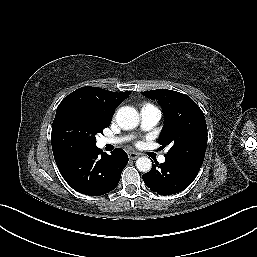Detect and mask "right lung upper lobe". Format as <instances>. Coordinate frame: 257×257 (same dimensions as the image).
I'll return each instance as SVG.
<instances>
[{
    "instance_id": "obj_1",
    "label": "right lung upper lobe",
    "mask_w": 257,
    "mask_h": 257,
    "mask_svg": "<svg viewBox=\"0 0 257 257\" xmlns=\"http://www.w3.org/2000/svg\"><path fill=\"white\" fill-rule=\"evenodd\" d=\"M131 91L111 92L98 87H81L59 104L52 124V149L54 158L86 149L81 145L70 144L67 140L70 124L68 113L73 108H82L104 120L111 121L116 107L122 103Z\"/></svg>"
}]
</instances>
